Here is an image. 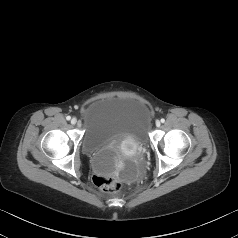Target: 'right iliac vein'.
Here are the masks:
<instances>
[{"instance_id":"1","label":"right iliac vein","mask_w":238,"mask_h":238,"mask_svg":"<svg viewBox=\"0 0 238 238\" xmlns=\"http://www.w3.org/2000/svg\"><path fill=\"white\" fill-rule=\"evenodd\" d=\"M77 123V119L76 118H72L71 119V124L75 125Z\"/></svg>"}]
</instances>
